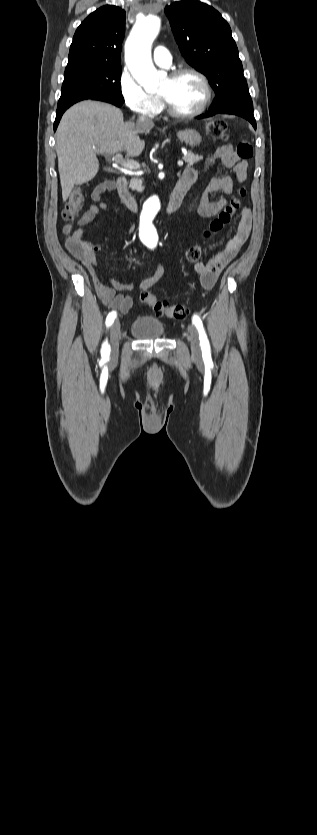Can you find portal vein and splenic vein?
Masks as SVG:
<instances>
[{
  "label": "portal vein and splenic vein",
  "instance_id": "portal-vein-and-splenic-vein-1",
  "mask_svg": "<svg viewBox=\"0 0 317 835\" xmlns=\"http://www.w3.org/2000/svg\"><path fill=\"white\" fill-rule=\"evenodd\" d=\"M115 162H116L117 164H120L121 166H123V167H125V168H130V169H138V168H140V164H139L137 161H135V160H123V157H122V155H121L120 153H117V154L115 155ZM183 164H184V163H183V161H182V160H179V161H178V166H179V167H182V166H183ZM178 174H181V171H179V172H178Z\"/></svg>",
  "mask_w": 317,
  "mask_h": 835
}]
</instances>
